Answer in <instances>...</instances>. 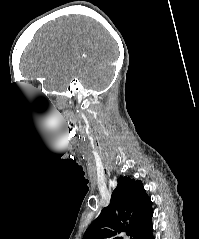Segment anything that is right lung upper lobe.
<instances>
[{"label":"right lung upper lobe","mask_w":199,"mask_h":239,"mask_svg":"<svg viewBox=\"0 0 199 239\" xmlns=\"http://www.w3.org/2000/svg\"><path fill=\"white\" fill-rule=\"evenodd\" d=\"M152 215V202L142 182L120 176L110 205L88 227L83 239H122L118 234L129 229L133 239Z\"/></svg>","instance_id":"obj_1"}]
</instances>
